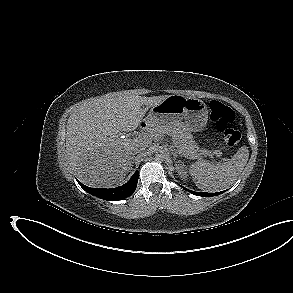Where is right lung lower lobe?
<instances>
[{
    "label": "right lung lower lobe",
    "mask_w": 293,
    "mask_h": 293,
    "mask_svg": "<svg viewBox=\"0 0 293 293\" xmlns=\"http://www.w3.org/2000/svg\"><path fill=\"white\" fill-rule=\"evenodd\" d=\"M138 182V171H136L131 179L124 184L123 186H119L117 188L111 189H104V188H90L83 185L81 182L78 181L79 185L91 195L99 197L101 199L107 201H118L122 200L128 196H130L136 189Z\"/></svg>",
    "instance_id": "right-lung-lower-lobe-1"
}]
</instances>
